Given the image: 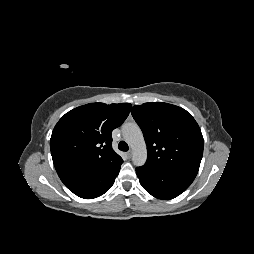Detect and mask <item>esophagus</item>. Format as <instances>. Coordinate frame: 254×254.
I'll return each instance as SVG.
<instances>
[{"label": "esophagus", "instance_id": "esophagus-1", "mask_svg": "<svg viewBox=\"0 0 254 254\" xmlns=\"http://www.w3.org/2000/svg\"><path fill=\"white\" fill-rule=\"evenodd\" d=\"M127 156H128V158H131L132 157V151H128Z\"/></svg>", "mask_w": 254, "mask_h": 254}]
</instances>
